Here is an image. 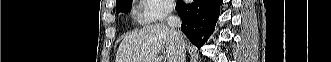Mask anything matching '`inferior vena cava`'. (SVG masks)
<instances>
[{
    "label": "inferior vena cava",
    "instance_id": "1",
    "mask_svg": "<svg viewBox=\"0 0 331 62\" xmlns=\"http://www.w3.org/2000/svg\"><path fill=\"white\" fill-rule=\"evenodd\" d=\"M172 8L169 10L168 17L166 19L167 26L170 28L175 45V62H185V43L182 35L177 32V28L181 27V19L171 14Z\"/></svg>",
    "mask_w": 331,
    "mask_h": 62
}]
</instances>
